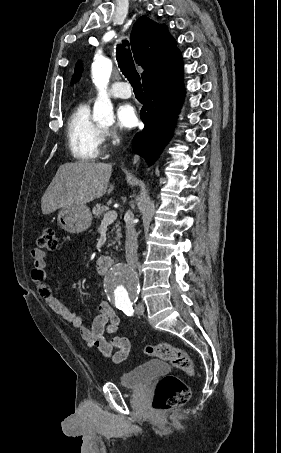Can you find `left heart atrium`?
<instances>
[{
	"label": "left heart atrium",
	"mask_w": 281,
	"mask_h": 453,
	"mask_svg": "<svg viewBox=\"0 0 281 453\" xmlns=\"http://www.w3.org/2000/svg\"><path fill=\"white\" fill-rule=\"evenodd\" d=\"M118 124L125 128H134L138 123V114L135 107L129 103L122 104L117 110Z\"/></svg>",
	"instance_id": "obj_1"
}]
</instances>
